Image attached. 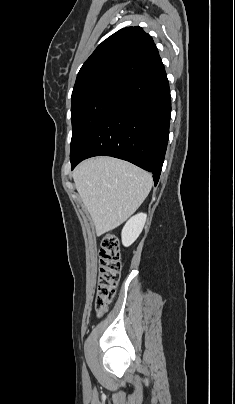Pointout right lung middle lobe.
Masks as SVG:
<instances>
[{
	"mask_svg": "<svg viewBox=\"0 0 235 404\" xmlns=\"http://www.w3.org/2000/svg\"><path fill=\"white\" fill-rule=\"evenodd\" d=\"M126 82H104L88 86L72 96V154L98 120L119 100Z\"/></svg>",
	"mask_w": 235,
	"mask_h": 404,
	"instance_id": "right-lung-middle-lobe-1",
	"label": "right lung middle lobe"
}]
</instances>
